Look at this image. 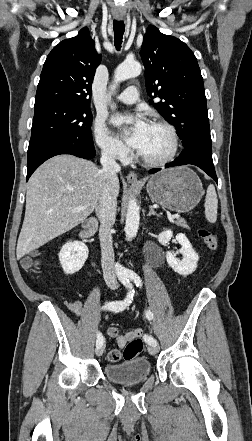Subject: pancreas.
<instances>
[{
    "mask_svg": "<svg viewBox=\"0 0 252 441\" xmlns=\"http://www.w3.org/2000/svg\"><path fill=\"white\" fill-rule=\"evenodd\" d=\"M175 224H176L177 226H180V227H183V228L189 229V227H188V225L186 224V221H185L184 219H178V220L175 222Z\"/></svg>",
    "mask_w": 252,
    "mask_h": 441,
    "instance_id": "1",
    "label": "pancreas"
}]
</instances>
